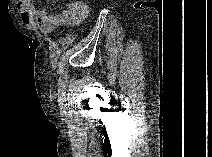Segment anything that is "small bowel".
<instances>
[{
	"instance_id": "obj_1",
	"label": "small bowel",
	"mask_w": 212,
	"mask_h": 157,
	"mask_svg": "<svg viewBox=\"0 0 212 157\" xmlns=\"http://www.w3.org/2000/svg\"><path fill=\"white\" fill-rule=\"evenodd\" d=\"M18 12L25 25L37 24L45 35H50L58 26L79 24L88 15V7L81 1H74L60 12L52 13L44 7L32 6L28 0H19Z\"/></svg>"
}]
</instances>
